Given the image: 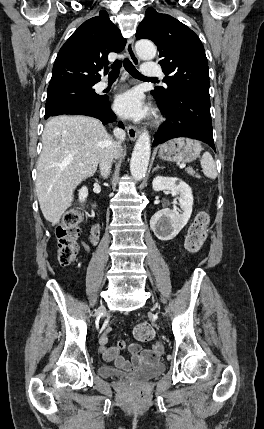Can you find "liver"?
Returning a JSON list of instances; mask_svg holds the SVG:
<instances>
[{
	"mask_svg": "<svg viewBox=\"0 0 264 429\" xmlns=\"http://www.w3.org/2000/svg\"><path fill=\"white\" fill-rule=\"evenodd\" d=\"M110 142L105 127L92 117L61 115L47 122L35 184L40 209L47 221L54 225L60 222L73 202L75 188L93 176Z\"/></svg>",
	"mask_w": 264,
	"mask_h": 429,
	"instance_id": "obj_1",
	"label": "liver"
}]
</instances>
